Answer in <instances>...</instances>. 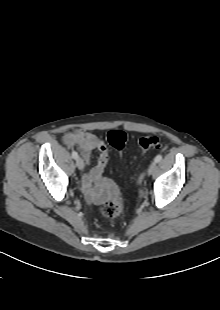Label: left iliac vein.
<instances>
[{"label":"left iliac vein","mask_w":220,"mask_h":310,"mask_svg":"<svg viewBox=\"0 0 220 310\" xmlns=\"http://www.w3.org/2000/svg\"><path fill=\"white\" fill-rule=\"evenodd\" d=\"M156 168V162H152L147 170V174L148 175H151L153 173V171L155 170Z\"/></svg>","instance_id":"4c4485c4"}]
</instances>
